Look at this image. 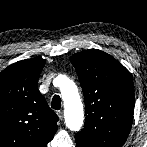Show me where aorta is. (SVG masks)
I'll list each match as a JSON object with an SVG mask.
<instances>
[{
    "label": "aorta",
    "instance_id": "aorta-1",
    "mask_svg": "<svg viewBox=\"0 0 147 147\" xmlns=\"http://www.w3.org/2000/svg\"><path fill=\"white\" fill-rule=\"evenodd\" d=\"M60 90L64 100V117L66 126L78 131L83 125V105L75 83L67 76L60 75Z\"/></svg>",
    "mask_w": 147,
    "mask_h": 147
}]
</instances>
